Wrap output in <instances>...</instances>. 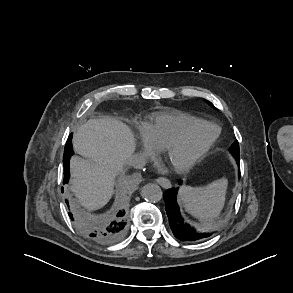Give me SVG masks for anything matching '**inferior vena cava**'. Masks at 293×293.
Masks as SVG:
<instances>
[{
	"instance_id": "602c4592",
	"label": "inferior vena cava",
	"mask_w": 293,
	"mask_h": 293,
	"mask_svg": "<svg viewBox=\"0 0 293 293\" xmlns=\"http://www.w3.org/2000/svg\"><path fill=\"white\" fill-rule=\"evenodd\" d=\"M127 164L136 169H142L146 164V159L141 154H135L127 160Z\"/></svg>"
}]
</instances>
